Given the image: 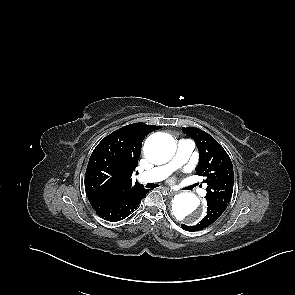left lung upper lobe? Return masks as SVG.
<instances>
[{
	"instance_id": "obj_1",
	"label": "left lung upper lobe",
	"mask_w": 295,
	"mask_h": 295,
	"mask_svg": "<svg viewBox=\"0 0 295 295\" xmlns=\"http://www.w3.org/2000/svg\"><path fill=\"white\" fill-rule=\"evenodd\" d=\"M182 131L191 137L199 150L196 173L207 183L206 200L228 204L233 193L234 172L230 157L224 148L208 133L185 127Z\"/></svg>"
}]
</instances>
